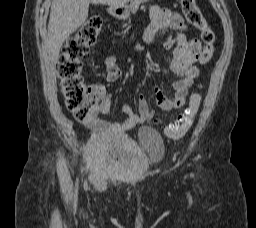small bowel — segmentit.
<instances>
[{
    "label": "small bowel",
    "instance_id": "1",
    "mask_svg": "<svg viewBox=\"0 0 256 228\" xmlns=\"http://www.w3.org/2000/svg\"><path fill=\"white\" fill-rule=\"evenodd\" d=\"M165 29L177 31L176 37L167 39L164 47L166 49L173 48L170 67L181 78L172 84L174 91L172 98L166 96L157 86H153L151 90L154 93L159 108L162 111H170L181 108L185 104L189 89L199 75V70L195 64L199 58L201 43L196 38H187L185 36L184 30L186 25L180 14L168 9L154 7L151 10L150 24L144 33L142 42L137 43L135 49L137 51L144 50L145 46L152 42L154 36ZM105 67V79L107 82H115L121 77L122 71L116 64L114 56H109L105 59ZM90 89L101 100V112L107 114L111 107V94L102 84L92 85ZM123 112L126 118L122 122H110L99 118H91L86 124L91 129L100 133H123L148 122L153 117V113L149 109L148 102L143 94L138 98L137 111H134L130 105H124Z\"/></svg>",
    "mask_w": 256,
    "mask_h": 228
}]
</instances>
